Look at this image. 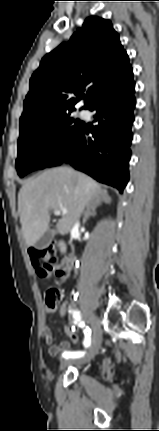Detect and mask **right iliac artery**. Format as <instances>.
Returning a JSON list of instances; mask_svg holds the SVG:
<instances>
[{"mask_svg":"<svg viewBox=\"0 0 159 431\" xmlns=\"http://www.w3.org/2000/svg\"><path fill=\"white\" fill-rule=\"evenodd\" d=\"M70 312L73 314V318L75 319V323L80 326V327H84V322L80 321L81 317H80V313L78 311L75 310H70ZM84 334H85V338L83 341V344L86 348H88L91 344V330L89 327H86L84 330ZM85 354V351H73V352H65L62 354V356L66 359L69 358H80Z\"/></svg>","mask_w":159,"mask_h":431,"instance_id":"right-iliac-artery-1","label":"right iliac artery"}]
</instances>
